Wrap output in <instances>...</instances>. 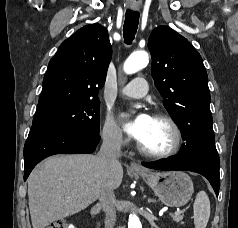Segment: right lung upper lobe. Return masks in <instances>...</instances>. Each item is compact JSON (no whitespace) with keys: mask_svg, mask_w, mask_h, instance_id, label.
<instances>
[{"mask_svg":"<svg viewBox=\"0 0 238 228\" xmlns=\"http://www.w3.org/2000/svg\"><path fill=\"white\" fill-rule=\"evenodd\" d=\"M111 56L108 32L100 24L84 26L65 40L49 62L35 117L99 100Z\"/></svg>","mask_w":238,"mask_h":228,"instance_id":"obj_1","label":"right lung upper lobe"}]
</instances>
